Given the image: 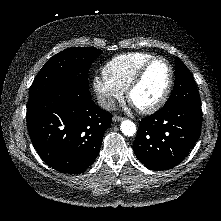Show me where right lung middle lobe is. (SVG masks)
<instances>
[{
    "instance_id": "obj_1",
    "label": "right lung middle lobe",
    "mask_w": 221,
    "mask_h": 221,
    "mask_svg": "<svg viewBox=\"0 0 221 221\" xmlns=\"http://www.w3.org/2000/svg\"><path fill=\"white\" fill-rule=\"evenodd\" d=\"M102 51L90 47L68 48L51 57L36 75L29 91L28 106L57 86L77 84L88 88V71Z\"/></svg>"
}]
</instances>
